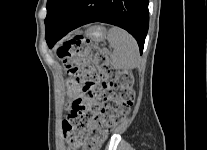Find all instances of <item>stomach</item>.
Listing matches in <instances>:
<instances>
[{
    "mask_svg": "<svg viewBox=\"0 0 207 150\" xmlns=\"http://www.w3.org/2000/svg\"><path fill=\"white\" fill-rule=\"evenodd\" d=\"M86 34L92 37L94 40L99 41L104 36V28L99 25H94L87 29Z\"/></svg>",
    "mask_w": 207,
    "mask_h": 150,
    "instance_id": "0dacf381",
    "label": "stomach"
}]
</instances>
